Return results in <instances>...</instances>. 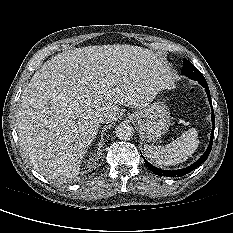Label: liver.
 Masks as SVG:
<instances>
[{"label": "liver", "instance_id": "obj_1", "mask_svg": "<svg viewBox=\"0 0 233 233\" xmlns=\"http://www.w3.org/2000/svg\"><path fill=\"white\" fill-rule=\"evenodd\" d=\"M172 85L164 63L133 45H98L60 53L45 62L23 90L17 110L20 145L48 179L74 178L100 124L119 105L143 109Z\"/></svg>", "mask_w": 233, "mask_h": 233}]
</instances>
